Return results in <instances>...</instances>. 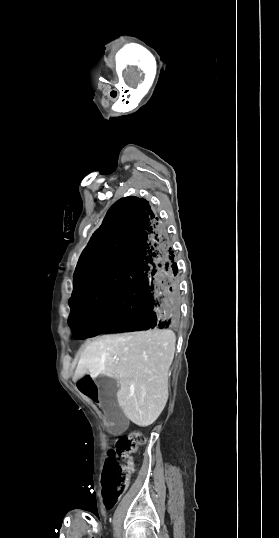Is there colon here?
Here are the masks:
<instances>
[{
  "label": "colon",
  "instance_id": "5ec220e1",
  "mask_svg": "<svg viewBox=\"0 0 279 538\" xmlns=\"http://www.w3.org/2000/svg\"><path fill=\"white\" fill-rule=\"evenodd\" d=\"M144 443V436L132 431L120 437L115 447L108 452L103 470V499L105 507L113 508L128 487L133 472L131 463L123 465L121 460L134 454Z\"/></svg>",
  "mask_w": 279,
  "mask_h": 538
}]
</instances>
